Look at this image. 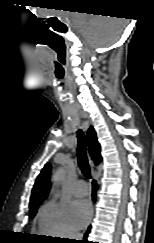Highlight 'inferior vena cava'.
<instances>
[{
	"mask_svg": "<svg viewBox=\"0 0 154 243\" xmlns=\"http://www.w3.org/2000/svg\"><path fill=\"white\" fill-rule=\"evenodd\" d=\"M72 237H73V239H77V240L81 239V235L79 233L72 234Z\"/></svg>",
	"mask_w": 154,
	"mask_h": 243,
	"instance_id": "inferior-vena-cava-1",
	"label": "inferior vena cava"
}]
</instances>
